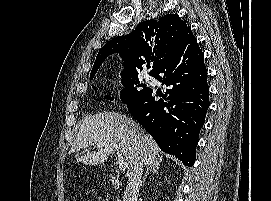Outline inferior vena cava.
<instances>
[{"instance_id": "obj_1", "label": "inferior vena cava", "mask_w": 271, "mask_h": 201, "mask_svg": "<svg viewBox=\"0 0 271 201\" xmlns=\"http://www.w3.org/2000/svg\"><path fill=\"white\" fill-rule=\"evenodd\" d=\"M144 167V160L140 158L134 173L129 178V182L126 186V190L123 195V201H137L138 193L141 187V177Z\"/></svg>"}]
</instances>
